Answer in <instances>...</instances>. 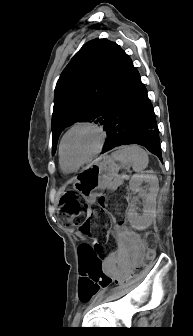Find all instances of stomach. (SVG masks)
Here are the masks:
<instances>
[{
    "label": "stomach",
    "instance_id": "obj_1",
    "mask_svg": "<svg viewBox=\"0 0 193 336\" xmlns=\"http://www.w3.org/2000/svg\"><path fill=\"white\" fill-rule=\"evenodd\" d=\"M118 169V165L111 157H100L82 169L75 178L73 188L87 203H94L98 192L110 188Z\"/></svg>",
    "mask_w": 193,
    "mask_h": 336
}]
</instances>
